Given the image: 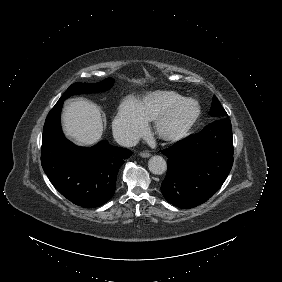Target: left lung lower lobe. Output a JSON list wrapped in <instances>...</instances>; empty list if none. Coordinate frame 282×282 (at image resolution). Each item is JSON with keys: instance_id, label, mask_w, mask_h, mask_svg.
Wrapping results in <instances>:
<instances>
[{"instance_id": "1", "label": "left lung lower lobe", "mask_w": 282, "mask_h": 282, "mask_svg": "<svg viewBox=\"0 0 282 282\" xmlns=\"http://www.w3.org/2000/svg\"><path fill=\"white\" fill-rule=\"evenodd\" d=\"M161 152L168 157L161 185L165 199L179 208L198 206L215 194L232 168L231 122L227 117L216 118L200 133Z\"/></svg>"}]
</instances>
